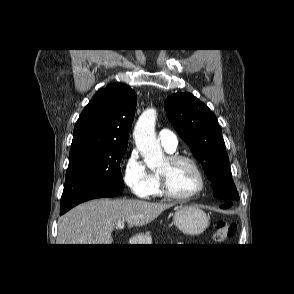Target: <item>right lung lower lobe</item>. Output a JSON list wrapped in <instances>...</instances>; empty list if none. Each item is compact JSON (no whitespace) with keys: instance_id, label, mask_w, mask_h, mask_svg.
Wrapping results in <instances>:
<instances>
[{"instance_id":"98d812e1","label":"right lung lower lobe","mask_w":294,"mask_h":294,"mask_svg":"<svg viewBox=\"0 0 294 294\" xmlns=\"http://www.w3.org/2000/svg\"><path fill=\"white\" fill-rule=\"evenodd\" d=\"M123 192V187H88L62 196L60 203V215L66 213L74 206L91 199L114 197Z\"/></svg>"}]
</instances>
